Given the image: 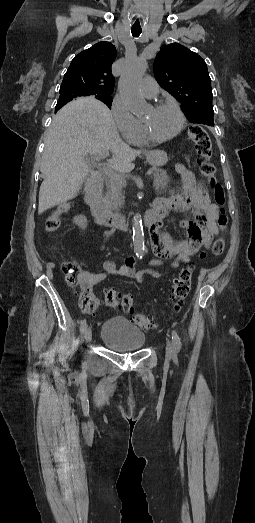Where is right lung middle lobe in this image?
Segmentation results:
<instances>
[{
	"label": "right lung middle lobe",
	"mask_w": 255,
	"mask_h": 523,
	"mask_svg": "<svg viewBox=\"0 0 255 523\" xmlns=\"http://www.w3.org/2000/svg\"><path fill=\"white\" fill-rule=\"evenodd\" d=\"M80 95L72 94L68 92H60V97L58 101H66L69 102L70 100H73L74 98L78 97ZM96 99L102 101L105 103L109 108H111V104L113 101V98L111 95H103V96H95Z\"/></svg>",
	"instance_id": "right-lung-middle-lobe-1"
}]
</instances>
